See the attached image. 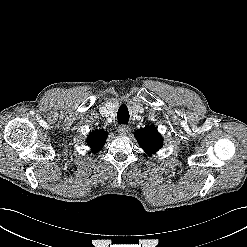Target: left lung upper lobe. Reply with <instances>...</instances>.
Returning a JSON list of instances; mask_svg holds the SVG:
<instances>
[{
    "label": "left lung upper lobe",
    "mask_w": 247,
    "mask_h": 247,
    "mask_svg": "<svg viewBox=\"0 0 247 247\" xmlns=\"http://www.w3.org/2000/svg\"><path fill=\"white\" fill-rule=\"evenodd\" d=\"M135 138L149 155L156 153L162 147L163 139L153 125L137 130Z\"/></svg>",
    "instance_id": "obj_1"
}]
</instances>
